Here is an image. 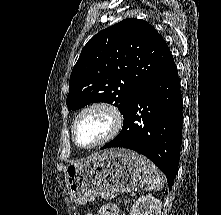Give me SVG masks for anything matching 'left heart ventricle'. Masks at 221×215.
<instances>
[{
    "label": "left heart ventricle",
    "instance_id": "b2bd125f",
    "mask_svg": "<svg viewBox=\"0 0 221 215\" xmlns=\"http://www.w3.org/2000/svg\"><path fill=\"white\" fill-rule=\"evenodd\" d=\"M111 118L102 109L85 113L77 123L76 138L83 146H89L102 139L111 129Z\"/></svg>",
    "mask_w": 221,
    "mask_h": 215
}]
</instances>
